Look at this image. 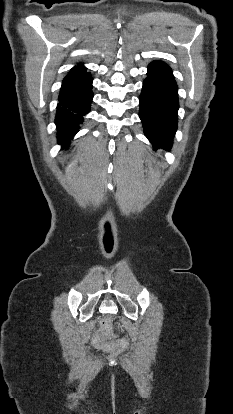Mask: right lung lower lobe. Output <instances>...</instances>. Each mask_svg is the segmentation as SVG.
<instances>
[{
    "mask_svg": "<svg viewBox=\"0 0 233 414\" xmlns=\"http://www.w3.org/2000/svg\"><path fill=\"white\" fill-rule=\"evenodd\" d=\"M92 98L91 74L86 72V68L72 69L62 82L55 118L58 141L63 148L78 132L84 121L83 116L90 110Z\"/></svg>",
    "mask_w": 233,
    "mask_h": 414,
    "instance_id": "1",
    "label": "right lung lower lobe"
}]
</instances>
